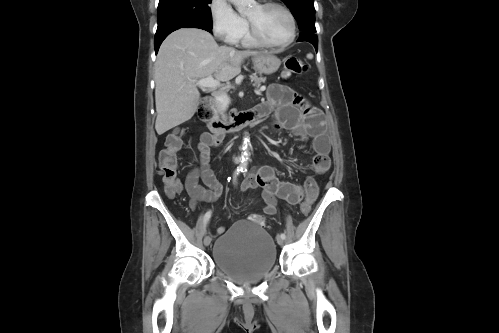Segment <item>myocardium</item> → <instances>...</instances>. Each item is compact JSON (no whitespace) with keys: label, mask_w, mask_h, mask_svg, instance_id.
Instances as JSON below:
<instances>
[{"label":"myocardium","mask_w":499,"mask_h":333,"mask_svg":"<svg viewBox=\"0 0 499 333\" xmlns=\"http://www.w3.org/2000/svg\"><path fill=\"white\" fill-rule=\"evenodd\" d=\"M260 8L262 9H268V8H279L284 13L288 16L290 24H291V31L289 37L279 43H273L268 40H266L263 35L259 32L258 28L256 25L251 22L249 19H247V24H248V31L252 39L257 42L259 45L268 47V48H285L289 46L296 38L297 34V24H296V19L292 11L284 4L276 1H271V0H266L258 4Z\"/></svg>","instance_id":"obj_1"}]
</instances>
